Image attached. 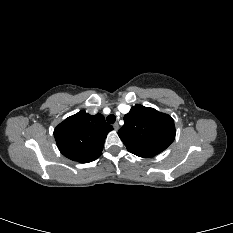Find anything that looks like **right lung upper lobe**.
I'll list each match as a JSON object with an SVG mask.
<instances>
[{"mask_svg":"<svg viewBox=\"0 0 233 233\" xmlns=\"http://www.w3.org/2000/svg\"><path fill=\"white\" fill-rule=\"evenodd\" d=\"M112 129L102 114L80 111L60 123L54 130V137L64 156L87 163L101 155L105 138Z\"/></svg>","mask_w":233,"mask_h":233,"instance_id":"obj_1","label":"right lung upper lobe"}]
</instances>
